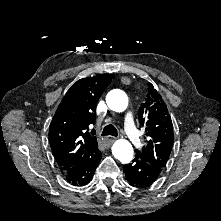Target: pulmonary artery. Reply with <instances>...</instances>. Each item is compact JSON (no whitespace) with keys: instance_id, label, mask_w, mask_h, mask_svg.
Returning <instances> with one entry per match:
<instances>
[{"instance_id":"1","label":"pulmonary artery","mask_w":221,"mask_h":221,"mask_svg":"<svg viewBox=\"0 0 221 221\" xmlns=\"http://www.w3.org/2000/svg\"><path fill=\"white\" fill-rule=\"evenodd\" d=\"M124 131L127 137L136 145H140V138L136 132L132 112L126 110L123 118Z\"/></svg>"}]
</instances>
